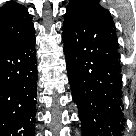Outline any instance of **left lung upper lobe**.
I'll use <instances>...</instances> for the list:
<instances>
[{
  "label": "left lung upper lobe",
  "instance_id": "obj_1",
  "mask_svg": "<svg viewBox=\"0 0 136 136\" xmlns=\"http://www.w3.org/2000/svg\"><path fill=\"white\" fill-rule=\"evenodd\" d=\"M66 14V19L105 18L112 21L110 13L94 0H71Z\"/></svg>",
  "mask_w": 136,
  "mask_h": 136
}]
</instances>
